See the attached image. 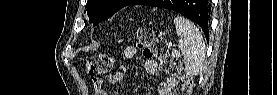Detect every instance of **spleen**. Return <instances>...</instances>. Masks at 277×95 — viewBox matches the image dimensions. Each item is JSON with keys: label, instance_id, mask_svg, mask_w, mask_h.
<instances>
[{"label": "spleen", "instance_id": "obj_1", "mask_svg": "<svg viewBox=\"0 0 277 95\" xmlns=\"http://www.w3.org/2000/svg\"><path fill=\"white\" fill-rule=\"evenodd\" d=\"M174 24L179 37V48L184 56L186 71L198 75L204 68L205 43L199 29L183 17H175Z\"/></svg>", "mask_w": 277, "mask_h": 95}]
</instances>
